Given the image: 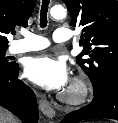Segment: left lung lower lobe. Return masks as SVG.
Segmentation results:
<instances>
[{
    "mask_svg": "<svg viewBox=\"0 0 118 123\" xmlns=\"http://www.w3.org/2000/svg\"><path fill=\"white\" fill-rule=\"evenodd\" d=\"M92 118L118 120V74L110 76L98 89H94V99L89 105L68 113L61 123H76Z\"/></svg>",
    "mask_w": 118,
    "mask_h": 123,
    "instance_id": "1",
    "label": "left lung lower lobe"
}]
</instances>
